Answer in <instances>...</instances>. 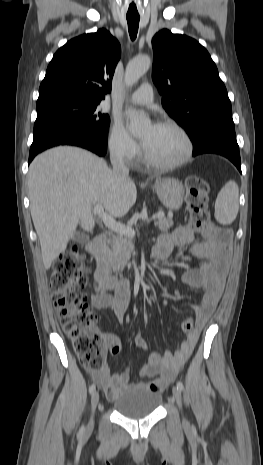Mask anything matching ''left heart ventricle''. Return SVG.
<instances>
[{
	"label": "left heart ventricle",
	"instance_id": "1",
	"mask_svg": "<svg viewBox=\"0 0 263 465\" xmlns=\"http://www.w3.org/2000/svg\"><path fill=\"white\" fill-rule=\"evenodd\" d=\"M141 138L148 153L159 162H173L184 154V139L172 128L149 126L143 131Z\"/></svg>",
	"mask_w": 263,
	"mask_h": 465
}]
</instances>
